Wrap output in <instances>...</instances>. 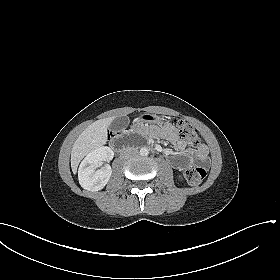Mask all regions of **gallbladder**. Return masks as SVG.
<instances>
[{
  "label": "gallbladder",
  "instance_id": "bac80fb5",
  "mask_svg": "<svg viewBox=\"0 0 280 280\" xmlns=\"http://www.w3.org/2000/svg\"><path fill=\"white\" fill-rule=\"evenodd\" d=\"M128 124H129V118L127 116L122 115L116 117L112 121L109 127L113 132H117L125 129L128 126Z\"/></svg>",
  "mask_w": 280,
  "mask_h": 280
}]
</instances>
